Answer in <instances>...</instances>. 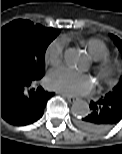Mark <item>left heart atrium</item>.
<instances>
[{
  "label": "left heart atrium",
  "mask_w": 122,
  "mask_h": 154,
  "mask_svg": "<svg viewBox=\"0 0 122 154\" xmlns=\"http://www.w3.org/2000/svg\"><path fill=\"white\" fill-rule=\"evenodd\" d=\"M47 85L50 89L69 96L86 95L93 89V82L89 76L68 68L50 71Z\"/></svg>",
  "instance_id": "1"
}]
</instances>
